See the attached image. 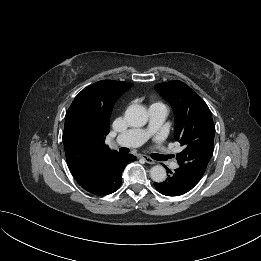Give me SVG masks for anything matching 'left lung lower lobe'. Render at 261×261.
Returning <instances> with one entry per match:
<instances>
[{
	"label": "left lung lower lobe",
	"mask_w": 261,
	"mask_h": 261,
	"mask_svg": "<svg viewBox=\"0 0 261 261\" xmlns=\"http://www.w3.org/2000/svg\"><path fill=\"white\" fill-rule=\"evenodd\" d=\"M167 169L168 177L164 182L154 183L155 188L163 195L166 196H180L192 188L198 183L185 171L180 168L175 169L173 172Z\"/></svg>",
	"instance_id": "obj_1"
}]
</instances>
